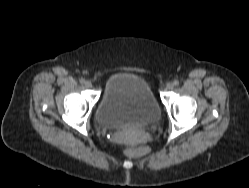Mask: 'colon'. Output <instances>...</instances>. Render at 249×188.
Here are the masks:
<instances>
[{
  "mask_svg": "<svg viewBox=\"0 0 249 188\" xmlns=\"http://www.w3.org/2000/svg\"><path fill=\"white\" fill-rule=\"evenodd\" d=\"M137 143V140L134 138H131L128 143L126 144V147H132Z\"/></svg>",
  "mask_w": 249,
  "mask_h": 188,
  "instance_id": "colon-1",
  "label": "colon"
}]
</instances>
